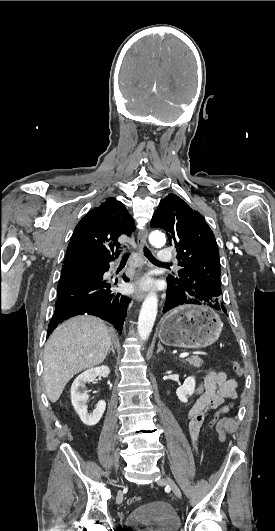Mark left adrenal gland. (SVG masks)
Here are the masks:
<instances>
[{"label":"left adrenal gland","mask_w":275,"mask_h":531,"mask_svg":"<svg viewBox=\"0 0 275 531\" xmlns=\"http://www.w3.org/2000/svg\"><path fill=\"white\" fill-rule=\"evenodd\" d=\"M160 351H164V353H165V349H164V347H162V345H161V343H160V341H159V343H158L157 353H160Z\"/></svg>","instance_id":"1"}]
</instances>
